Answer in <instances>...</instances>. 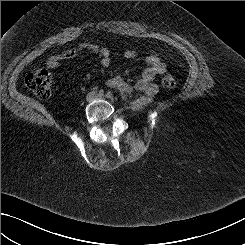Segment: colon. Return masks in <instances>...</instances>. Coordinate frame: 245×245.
<instances>
[{"mask_svg": "<svg viewBox=\"0 0 245 245\" xmlns=\"http://www.w3.org/2000/svg\"><path fill=\"white\" fill-rule=\"evenodd\" d=\"M25 84L38 98L47 99L51 96L52 74L48 69H39L26 77ZM161 84L166 89H172L176 86V80L172 75L166 74Z\"/></svg>", "mask_w": 245, "mask_h": 245, "instance_id": "obj_1", "label": "colon"}]
</instances>
